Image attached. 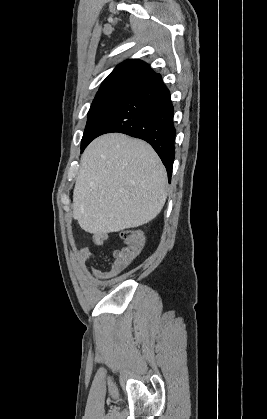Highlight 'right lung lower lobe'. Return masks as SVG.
<instances>
[{
    "label": "right lung lower lobe",
    "instance_id": "98d812e1",
    "mask_svg": "<svg viewBox=\"0 0 267 419\" xmlns=\"http://www.w3.org/2000/svg\"><path fill=\"white\" fill-rule=\"evenodd\" d=\"M173 115L169 90L161 75L155 74L110 111L94 131L91 141L110 132L147 141L165 165L170 182L176 136Z\"/></svg>",
    "mask_w": 267,
    "mask_h": 419
}]
</instances>
